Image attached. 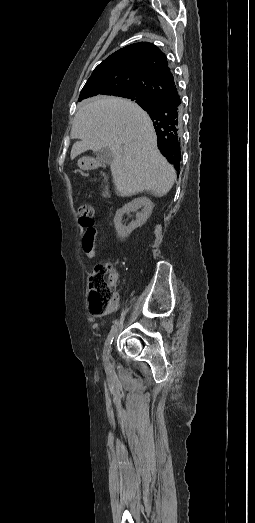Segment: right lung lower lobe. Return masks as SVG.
<instances>
[{
    "instance_id": "1",
    "label": "right lung lower lobe",
    "mask_w": 255,
    "mask_h": 523,
    "mask_svg": "<svg viewBox=\"0 0 255 523\" xmlns=\"http://www.w3.org/2000/svg\"><path fill=\"white\" fill-rule=\"evenodd\" d=\"M181 105L178 101H166L153 108L150 115L153 119L158 120L166 114H173L180 110ZM180 168V166H179ZM179 170V169H178Z\"/></svg>"
}]
</instances>
